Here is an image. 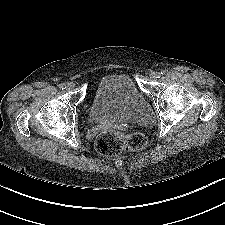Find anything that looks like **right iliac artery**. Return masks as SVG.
<instances>
[{
  "instance_id": "obj_1",
  "label": "right iliac artery",
  "mask_w": 225,
  "mask_h": 225,
  "mask_svg": "<svg viewBox=\"0 0 225 225\" xmlns=\"http://www.w3.org/2000/svg\"><path fill=\"white\" fill-rule=\"evenodd\" d=\"M59 88L63 90L66 88V85L64 83H61V84H59Z\"/></svg>"
}]
</instances>
